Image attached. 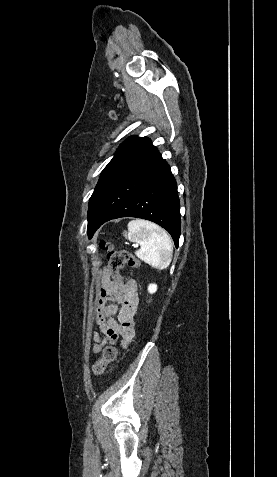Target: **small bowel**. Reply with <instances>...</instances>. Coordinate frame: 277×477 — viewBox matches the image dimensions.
<instances>
[{
  "mask_svg": "<svg viewBox=\"0 0 277 477\" xmlns=\"http://www.w3.org/2000/svg\"><path fill=\"white\" fill-rule=\"evenodd\" d=\"M137 284L133 279L114 280L107 269L101 273V288L96 300V323L98 332L92 333L93 355L118 336L128 344L134 337V316L138 307Z\"/></svg>",
  "mask_w": 277,
  "mask_h": 477,
  "instance_id": "c3829d8e",
  "label": "small bowel"
}]
</instances>
